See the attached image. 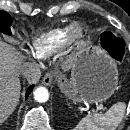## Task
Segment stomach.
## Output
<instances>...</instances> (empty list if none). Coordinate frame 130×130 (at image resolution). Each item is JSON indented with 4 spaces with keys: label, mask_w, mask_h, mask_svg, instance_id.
I'll return each mask as SVG.
<instances>
[{
    "label": "stomach",
    "mask_w": 130,
    "mask_h": 130,
    "mask_svg": "<svg viewBox=\"0 0 130 130\" xmlns=\"http://www.w3.org/2000/svg\"><path fill=\"white\" fill-rule=\"evenodd\" d=\"M118 71L112 59L98 48H82L75 56L71 79L60 84L63 94L73 102L106 101L117 89Z\"/></svg>",
    "instance_id": "0dacf381"
}]
</instances>
